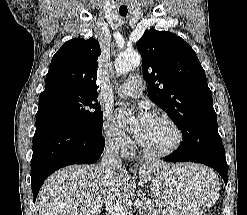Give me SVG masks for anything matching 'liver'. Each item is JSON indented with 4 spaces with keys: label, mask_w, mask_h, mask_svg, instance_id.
Segmentation results:
<instances>
[{
    "label": "liver",
    "mask_w": 247,
    "mask_h": 215,
    "mask_svg": "<svg viewBox=\"0 0 247 215\" xmlns=\"http://www.w3.org/2000/svg\"><path fill=\"white\" fill-rule=\"evenodd\" d=\"M167 166L164 162L143 164L139 168L140 183L151 181L153 173ZM184 169L193 172L197 165L186 164ZM134 188V179L123 168L108 178L98 164L68 166L52 174L43 184L37 208L39 215H97L101 208L95 213L96 206L102 207L107 202L125 203Z\"/></svg>",
    "instance_id": "obj_1"
}]
</instances>
